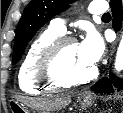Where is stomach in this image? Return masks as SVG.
Listing matches in <instances>:
<instances>
[{"instance_id": "obj_1", "label": "stomach", "mask_w": 123, "mask_h": 113, "mask_svg": "<svg viewBox=\"0 0 123 113\" xmlns=\"http://www.w3.org/2000/svg\"><path fill=\"white\" fill-rule=\"evenodd\" d=\"M78 101L83 108L90 107L94 103V97L91 95L82 94L78 97ZM9 107L12 113H29V110L23 107L22 104L15 100H11Z\"/></svg>"}]
</instances>
